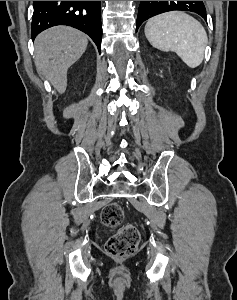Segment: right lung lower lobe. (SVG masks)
<instances>
[{
    "label": "right lung lower lobe",
    "instance_id": "98d812e1",
    "mask_svg": "<svg viewBox=\"0 0 237 300\" xmlns=\"http://www.w3.org/2000/svg\"><path fill=\"white\" fill-rule=\"evenodd\" d=\"M31 36L55 25H68L88 34L100 50L101 1H33Z\"/></svg>",
    "mask_w": 237,
    "mask_h": 300
}]
</instances>
